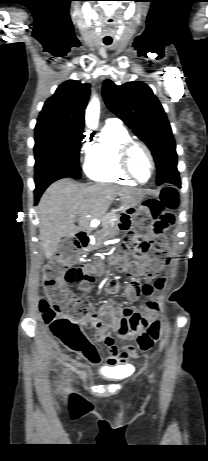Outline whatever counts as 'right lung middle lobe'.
Wrapping results in <instances>:
<instances>
[{
	"label": "right lung middle lobe",
	"mask_w": 208,
	"mask_h": 461,
	"mask_svg": "<svg viewBox=\"0 0 208 461\" xmlns=\"http://www.w3.org/2000/svg\"><path fill=\"white\" fill-rule=\"evenodd\" d=\"M83 132L50 121H37L35 127V183L64 174L79 179L80 143Z\"/></svg>",
	"instance_id": "obj_1"
}]
</instances>
